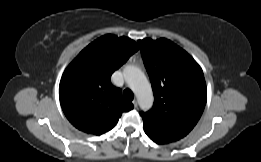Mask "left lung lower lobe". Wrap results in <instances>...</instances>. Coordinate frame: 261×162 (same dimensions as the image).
Returning <instances> with one entry per match:
<instances>
[{
	"label": "left lung lower lobe",
	"mask_w": 261,
	"mask_h": 162,
	"mask_svg": "<svg viewBox=\"0 0 261 162\" xmlns=\"http://www.w3.org/2000/svg\"><path fill=\"white\" fill-rule=\"evenodd\" d=\"M145 130V133L149 136V138L151 140H153L155 143L157 144H166V143H169L170 141H166V140H163V139H160L156 136H154L153 134H151L149 131H147L146 129Z\"/></svg>",
	"instance_id": "left-lung-lower-lobe-1"
}]
</instances>
